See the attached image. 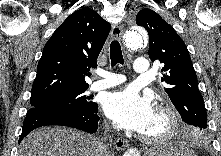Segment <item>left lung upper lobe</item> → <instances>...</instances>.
<instances>
[{"mask_svg": "<svg viewBox=\"0 0 221 156\" xmlns=\"http://www.w3.org/2000/svg\"><path fill=\"white\" fill-rule=\"evenodd\" d=\"M136 24L148 32L150 59L163 63L161 81L182 120L189 125L205 129L207 113L185 43L173 27L153 10L139 11Z\"/></svg>", "mask_w": 221, "mask_h": 156, "instance_id": "1", "label": "left lung upper lobe"}]
</instances>
